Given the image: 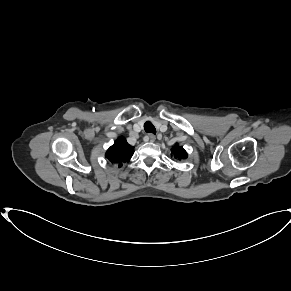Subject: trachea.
<instances>
[{
    "label": "trachea",
    "mask_w": 291,
    "mask_h": 291,
    "mask_svg": "<svg viewBox=\"0 0 291 291\" xmlns=\"http://www.w3.org/2000/svg\"><path fill=\"white\" fill-rule=\"evenodd\" d=\"M144 130L146 132H148V133L156 134V129H155L154 125L150 121L145 122Z\"/></svg>",
    "instance_id": "trachea-1"
}]
</instances>
